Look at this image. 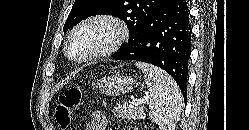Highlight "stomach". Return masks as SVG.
<instances>
[{
  "mask_svg": "<svg viewBox=\"0 0 249 130\" xmlns=\"http://www.w3.org/2000/svg\"><path fill=\"white\" fill-rule=\"evenodd\" d=\"M138 81L127 75H113L97 81L96 87L101 92L110 96H117L131 91Z\"/></svg>",
  "mask_w": 249,
  "mask_h": 130,
  "instance_id": "stomach-1",
  "label": "stomach"
}]
</instances>
